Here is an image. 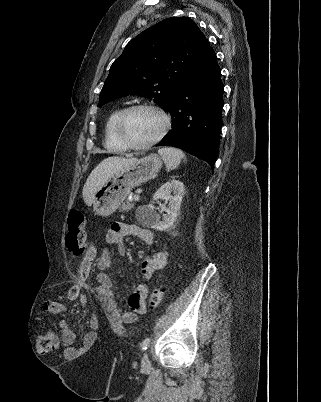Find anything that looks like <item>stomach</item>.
<instances>
[{
  "label": "stomach",
  "instance_id": "0dacf381",
  "mask_svg": "<svg viewBox=\"0 0 321 402\" xmlns=\"http://www.w3.org/2000/svg\"><path fill=\"white\" fill-rule=\"evenodd\" d=\"M161 167L162 158L151 153L115 172L94 194L95 214H113L134 187L153 178Z\"/></svg>",
  "mask_w": 321,
  "mask_h": 402
}]
</instances>
